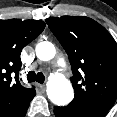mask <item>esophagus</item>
Wrapping results in <instances>:
<instances>
[{
  "label": "esophagus",
  "instance_id": "1",
  "mask_svg": "<svg viewBox=\"0 0 117 117\" xmlns=\"http://www.w3.org/2000/svg\"><path fill=\"white\" fill-rule=\"evenodd\" d=\"M37 86H38V88H39V90L41 92H44L45 91V85L44 84H38Z\"/></svg>",
  "mask_w": 117,
  "mask_h": 117
}]
</instances>
